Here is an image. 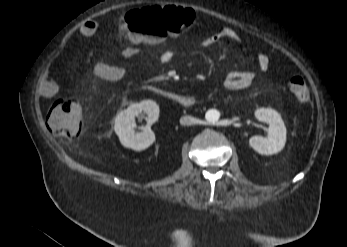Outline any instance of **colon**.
I'll return each instance as SVG.
<instances>
[{
    "instance_id": "1",
    "label": "colon",
    "mask_w": 347,
    "mask_h": 247,
    "mask_svg": "<svg viewBox=\"0 0 347 247\" xmlns=\"http://www.w3.org/2000/svg\"><path fill=\"white\" fill-rule=\"evenodd\" d=\"M199 17L191 10L177 6H152L133 10L119 18V29L132 40L159 43L170 35H177L192 28ZM289 89L299 104L310 100V89L306 81L295 76ZM47 124L51 132L63 138L78 137L83 131L81 106L70 97H57L47 113Z\"/></svg>"
}]
</instances>
